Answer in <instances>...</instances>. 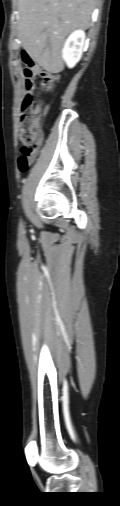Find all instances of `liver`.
<instances>
[{
  "instance_id": "liver-1",
  "label": "liver",
  "mask_w": 120,
  "mask_h": 506,
  "mask_svg": "<svg viewBox=\"0 0 120 506\" xmlns=\"http://www.w3.org/2000/svg\"><path fill=\"white\" fill-rule=\"evenodd\" d=\"M96 0H18L23 49L45 70L64 68L62 46L74 29H87Z\"/></svg>"
}]
</instances>
